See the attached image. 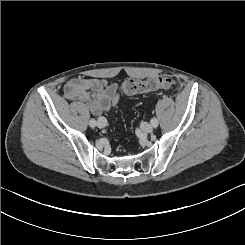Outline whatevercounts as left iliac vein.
<instances>
[{
    "instance_id": "obj_1",
    "label": "left iliac vein",
    "mask_w": 245,
    "mask_h": 245,
    "mask_svg": "<svg viewBox=\"0 0 245 245\" xmlns=\"http://www.w3.org/2000/svg\"><path fill=\"white\" fill-rule=\"evenodd\" d=\"M141 129L145 132V133H150L153 130V126L147 122L142 123L141 125Z\"/></svg>"
}]
</instances>
